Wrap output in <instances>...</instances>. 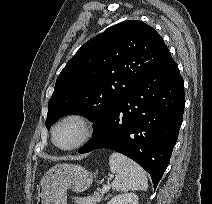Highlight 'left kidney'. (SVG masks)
I'll list each match as a JSON object with an SVG mask.
<instances>
[{
    "label": "left kidney",
    "instance_id": "obj_1",
    "mask_svg": "<svg viewBox=\"0 0 212 204\" xmlns=\"http://www.w3.org/2000/svg\"><path fill=\"white\" fill-rule=\"evenodd\" d=\"M107 204H138V196L135 193L116 195Z\"/></svg>",
    "mask_w": 212,
    "mask_h": 204
}]
</instances>
